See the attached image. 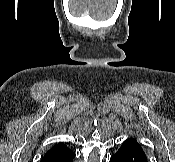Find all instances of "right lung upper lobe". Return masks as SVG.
I'll return each instance as SVG.
<instances>
[{"label": "right lung upper lobe", "instance_id": "right-lung-upper-lobe-1", "mask_svg": "<svg viewBox=\"0 0 175 162\" xmlns=\"http://www.w3.org/2000/svg\"><path fill=\"white\" fill-rule=\"evenodd\" d=\"M62 146H66L65 144H63V143H60V144H56L54 147H52V148H56V147H62Z\"/></svg>", "mask_w": 175, "mask_h": 162}]
</instances>
